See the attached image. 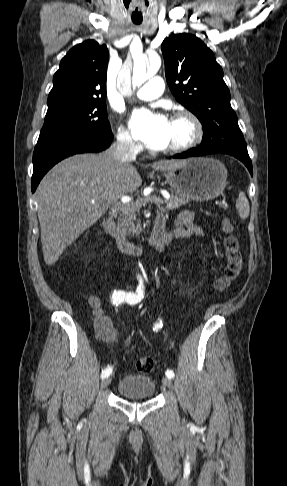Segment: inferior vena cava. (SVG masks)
<instances>
[{
	"label": "inferior vena cava",
	"mask_w": 287,
	"mask_h": 486,
	"mask_svg": "<svg viewBox=\"0 0 287 486\" xmlns=\"http://www.w3.org/2000/svg\"><path fill=\"white\" fill-rule=\"evenodd\" d=\"M114 159L120 162H130L136 160L138 146L131 136L122 134L117 136V141L109 149Z\"/></svg>",
	"instance_id": "obj_1"
}]
</instances>
